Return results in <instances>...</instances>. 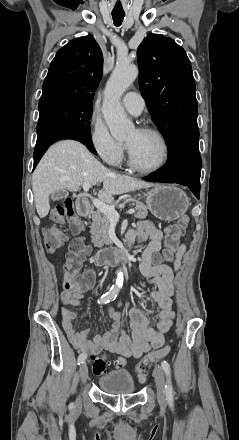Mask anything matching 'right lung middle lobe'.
Masks as SVG:
<instances>
[{
    "mask_svg": "<svg viewBox=\"0 0 239 440\" xmlns=\"http://www.w3.org/2000/svg\"><path fill=\"white\" fill-rule=\"evenodd\" d=\"M37 132L51 126H69L90 132L92 104L84 100L57 98L40 102Z\"/></svg>",
    "mask_w": 239,
    "mask_h": 440,
    "instance_id": "right-lung-middle-lobe-1",
    "label": "right lung middle lobe"
}]
</instances>
